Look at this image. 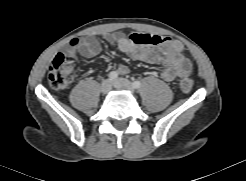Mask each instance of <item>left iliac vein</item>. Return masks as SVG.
Listing matches in <instances>:
<instances>
[{"label":"left iliac vein","instance_id":"left-iliac-vein-1","mask_svg":"<svg viewBox=\"0 0 246 181\" xmlns=\"http://www.w3.org/2000/svg\"><path fill=\"white\" fill-rule=\"evenodd\" d=\"M113 86L117 89L128 90L130 92H134V88L131 82L124 78H119L113 82Z\"/></svg>","mask_w":246,"mask_h":181}]
</instances>
